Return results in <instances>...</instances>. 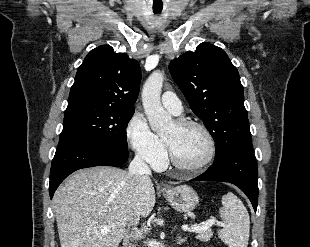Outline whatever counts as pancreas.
I'll list each match as a JSON object with an SVG mask.
<instances>
[{
    "label": "pancreas",
    "mask_w": 310,
    "mask_h": 247,
    "mask_svg": "<svg viewBox=\"0 0 310 247\" xmlns=\"http://www.w3.org/2000/svg\"><path fill=\"white\" fill-rule=\"evenodd\" d=\"M212 235H213V232L211 231V229H206V230L197 232L196 238L203 242H207L210 240Z\"/></svg>",
    "instance_id": "cf45deb5"
}]
</instances>
